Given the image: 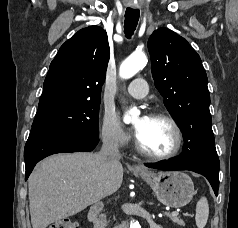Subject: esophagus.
Instances as JSON below:
<instances>
[{
  "mask_svg": "<svg viewBox=\"0 0 238 228\" xmlns=\"http://www.w3.org/2000/svg\"><path fill=\"white\" fill-rule=\"evenodd\" d=\"M133 167L136 168V169H140L139 165H133Z\"/></svg>",
  "mask_w": 238,
  "mask_h": 228,
  "instance_id": "esophagus-1",
  "label": "esophagus"
}]
</instances>
